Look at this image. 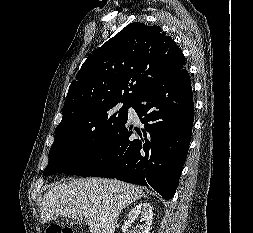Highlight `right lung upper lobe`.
Instances as JSON below:
<instances>
[{
  "instance_id": "cb5924a9",
  "label": "right lung upper lobe",
  "mask_w": 253,
  "mask_h": 233,
  "mask_svg": "<svg viewBox=\"0 0 253 233\" xmlns=\"http://www.w3.org/2000/svg\"><path fill=\"white\" fill-rule=\"evenodd\" d=\"M184 64L182 51L159 26L131 23L84 62L69 87L63 117L100 101H133Z\"/></svg>"
}]
</instances>
